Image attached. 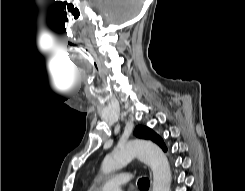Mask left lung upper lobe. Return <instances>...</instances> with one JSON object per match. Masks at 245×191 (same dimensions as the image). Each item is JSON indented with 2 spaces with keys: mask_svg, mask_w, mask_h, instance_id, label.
<instances>
[{
  "mask_svg": "<svg viewBox=\"0 0 245 191\" xmlns=\"http://www.w3.org/2000/svg\"><path fill=\"white\" fill-rule=\"evenodd\" d=\"M134 134L139 138L152 140L153 142L157 143L164 151H167V148L163 143L162 138L150 128L145 126H138L136 127Z\"/></svg>",
  "mask_w": 245,
  "mask_h": 191,
  "instance_id": "obj_1",
  "label": "left lung upper lobe"
}]
</instances>
